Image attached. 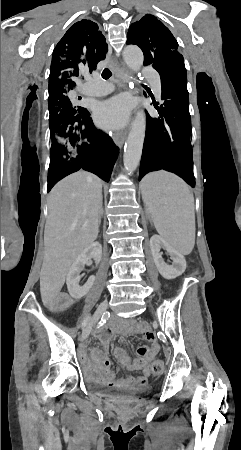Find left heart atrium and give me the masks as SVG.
<instances>
[{
    "label": "left heart atrium",
    "instance_id": "left-heart-atrium-1",
    "mask_svg": "<svg viewBox=\"0 0 241 450\" xmlns=\"http://www.w3.org/2000/svg\"><path fill=\"white\" fill-rule=\"evenodd\" d=\"M132 102L126 96H116L98 105L95 111L96 123L104 129H116L129 119Z\"/></svg>",
    "mask_w": 241,
    "mask_h": 450
}]
</instances>
